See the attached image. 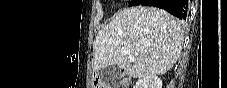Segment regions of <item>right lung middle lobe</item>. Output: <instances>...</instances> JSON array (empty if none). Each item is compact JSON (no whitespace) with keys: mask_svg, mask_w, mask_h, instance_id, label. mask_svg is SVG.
I'll list each match as a JSON object with an SVG mask.
<instances>
[{"mask_svg":"<svg viewBox=\"0 0 227 88\" xmlns=\"http://www.w3.org/2000/svg\"><path fill=\"white\" fill-rule=\"evenodd\" d=\"M141 2V0H132L129 5L136 6Z\"/></svg>","mask_w":227,"mask_h":88,"instance_id":"obj_1","label":"right lung middle lobe"}]
</instances>
